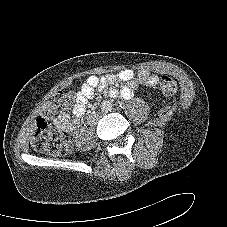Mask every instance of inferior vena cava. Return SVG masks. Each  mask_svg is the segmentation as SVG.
I'll return each mask as SVG.
<instances>
[{
  "label": "inferior vena cava",
  "instance_id": "inferior-vena-cava-1",
  "mask_svg": "<svg viewBox=\"0 0 227 227\" xmlns=\"http://www.w3.org/2000/svg\"><path fill=\"white\" fill-rule=\"evenodd\" d=\"M107 103H109V102L108 101H103L101 107L105 106Z\"/></svg>",
  "mask_w": 227,
  "mask_h": 227
}]
</instances>
